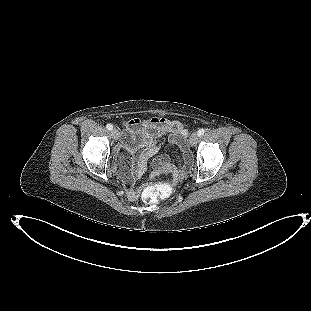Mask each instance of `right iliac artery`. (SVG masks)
<instances>
[{
	"instance_id": "right-iliac-artery-1",
	"label": "right iliac artery",
	"mask_w": 311,
	"mask_h": 311,
	"mask_svg": "<svg viewBox=\"0 0 311 311\" xmlns=\"http://www.w3.org/2000/svg\"><path fill=\"white\" fill-rule=\"evenodd\" d=\"M106 128L111 131L113 129V126L111 124H107Z\"/></svg>"
}]
</instances>
